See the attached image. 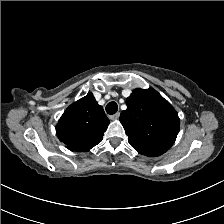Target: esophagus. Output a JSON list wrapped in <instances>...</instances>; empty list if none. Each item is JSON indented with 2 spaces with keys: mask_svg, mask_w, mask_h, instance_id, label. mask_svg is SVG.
<instances>
[{
  "mask_svg": "<svg viewBox=\"0 0 224 224\" xmlns=\"http://www.w3.org/2000/svg\"><path fill=\"white\" fill-rule=\"evenodd\" d=\"M119 117H120V113L119 112L109 116V118L111 120H117Z\"/></svg>",
  "mask_w": 224,
  "mask_h": 224,
  "instance_id": "34e87169",
  "label": "esophagus"
}]
</instances>
